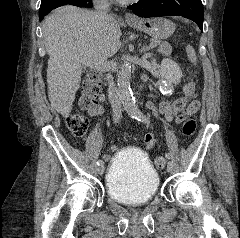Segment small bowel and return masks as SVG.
<instances>
[{"label": "small bowel", "instance_id": "obj_1", "mask_svg": "<svg viewBox=\"0 0 240 238\" xmlns=\"http://www.w3.org/2000/svg\"><path fill=\"white\" fill-rule=\"evenodd\" d=\"M105 100L104 95H99L97 101L91 106L88 111L92 116L98 117L104 113V107L101 102ZM150 109L156 117L163 116L168 121L175 120L176 123H181L189 115L196 114L200 109V102L197 95L194 93L190 97H181L176 100H165L159 105L149 103ZM156 138L153 134H148L145 137L144 145L146 148L153 146L156 143ZM120 146H110V151H120ZM102 162H110L109 154H102Z\"/></svg>", "mask_w": 240, "mask_h": 238}]
</instances>
